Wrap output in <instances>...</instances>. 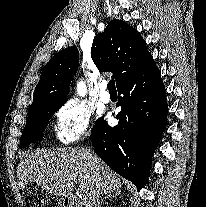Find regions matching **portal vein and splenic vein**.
<instances>
[{
	"mask_svg": "<svg viewBox=\"0 0 206 207\" xmlns=\"http://www.w3.org/2000/svg\"><path fill=\"white\" fill-rule=\"evenodd\" d=\"M86 207H87V202L85 201Z\"/></svg>",
	"mask_w": 206,
	"mask_h": 207,
	"instance_id": "1",
	"label": "portal vein and splenic vein"
}]
</instances>
